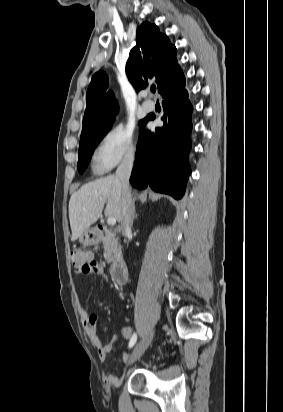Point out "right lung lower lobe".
Returning <instances> with one entry per match:
<instances>
[{"label":"right lung lower lobe","instance_id":"98d812e1","mask_svg":"<svg viewBox=\"0 0 283 412\" xmlns=\"http://www.w3.org/2000/svg\"><path fill=\"white\" fill-rule=\"evenodd\" d=\"M185 78L174 87H166L164 98L163 127L145 131V125L153 117L143 119L140 129L135 166L131 184L139 189L148 185L157 192L180 199L191 173L188 154L191 150V113L193 107L184 89Z\"/></svg>","mask_w":283,"mask_h":412}]
</instances>
